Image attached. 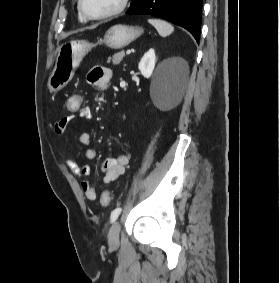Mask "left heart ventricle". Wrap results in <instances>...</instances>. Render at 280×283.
Returning <instances> with one entry per match:
<instances>
[{
  "mask_svg": "<svg viewBox=\"0 0 280 283\" xmlns=\"http://www.w3.org/2000/svg\"><path fill=\"white\" fill-rule=\"evenodd\" d=\"M120 0H83V6L87 13L100 15L113 10Z\"/></svg>",
  "mask_w": 280,
  "mask_h": 283,
  "instance_id": "obj_1",
  "label": "left heart ventricle"
}]
</instances>
